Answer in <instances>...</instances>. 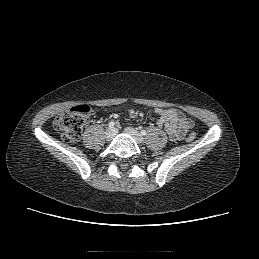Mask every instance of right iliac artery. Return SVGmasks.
<instances>
[{"label": "right iliac artery", "instance_id": "82829eb1", "mask_svg": "<svg viewBox=\"0 0 259 259\" xmlns=\"http://www.w3.org/2000/svg\"><path fill=\"white\" fill-rule=\"evenodd\" d=\"M108 126L109 128H113L115 126V122L114 121L109 122Z\"/></svg>", "mask_w": 259, "mask_h": 259}]
</instances>
